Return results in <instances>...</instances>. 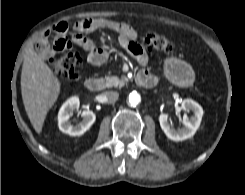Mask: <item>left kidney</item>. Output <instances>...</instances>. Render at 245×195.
Wrapping results in <instances>:
<instances>
[{
	"mask_svg": "<svg viewBox=\"0 0 245 195\" xmlns=\"http://www.w3.org/2000/svg\"><path fill=\"white\" fill-rule=\"evenodd\" d=\"M182 108L185 111L194 112V115L191 117H188L186 114L183 115L184 127L181 129L176 130L170 126L168 123V114H161L159 116L161 129L164 131L165 135L173 141H183L192 137L199 128L202 120L203 109L197 102L191 99H185L182 102Z\"/></svg>",
	"mask_w": 245,
	"mask_h": 195,
	"instance_id": "1",
	"label": "left kidney"
}]
</instances>
